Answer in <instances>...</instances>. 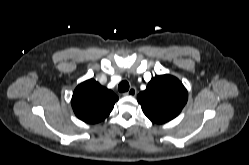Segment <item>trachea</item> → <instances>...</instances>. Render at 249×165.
Here are the masks:
<instances>
[{
    "label": "trachea",
    "instance_id": "1",
    "mask_svg": "<svg viewBox=\"0 0 249 165\" xmlns=\"http://www.w3.org/2000/svg\"><path fill=\"white\" fill-rule=\"evenodd\" d=\"M119 92H127L129 90V83L127 81H122L118 85Z\"/></svg>",
    "mask_w": 249,
    "mask_h": 165
}]
</instances>
